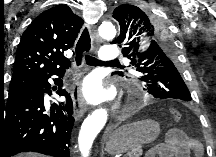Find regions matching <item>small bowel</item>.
Listing matches in <instances>:
<instances>
[{"label": "small bowel", "mask_w": 216, "mask_h": 157, "mask_svg": "<svg viewBox=\"0 0 216 157\" xmlns=\"http://www.w3.org/2000/svg\"><path fill=\"white\" fill-rule=\"evenodd\" d=\"M202 153L203 148L198 140L188 137L180 130H172L163 142L159 156L190 157L194 154L196 157H201Z\"/></svg>", "instance_id": "c3829d8e"}]
</instances>
